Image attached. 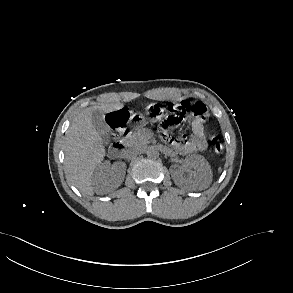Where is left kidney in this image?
Here are the masks:
<instances>
[{
	"label": "left kidney",
	"instance_id": "5707ae66",
	"mask_svg": "<svg viewBox=\"0 0 293 293\" xmlns=\"http://www.w3.org/2000/svg\"><path fill=\"white\" fill-rule=\"evenodd\" d=\"M186 168L193 169V177L186 179L181 168L172 170V178L179 187L188 186L194 190L208 188L212 181V171L209 163L204 158L187 159Z\"/></svg>",
	"mask_w": 293,
	"mask_h": 293
}]
</instances>
